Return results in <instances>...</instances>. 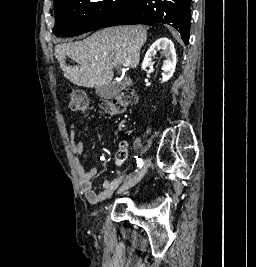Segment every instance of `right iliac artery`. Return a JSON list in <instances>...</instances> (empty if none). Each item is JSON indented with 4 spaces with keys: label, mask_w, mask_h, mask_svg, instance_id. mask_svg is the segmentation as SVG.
Segmentation results:
<instances>
[{
    "label": "right iliac artery",
    "mask_w": 256,
    "mask_h": 267,
    "mask_svg": "<svg viewBox=\"0 0 256 267\" xmlns=\"http://www.w3.org/2000/svg\"><path fill=\"white\" fill-rule=\"evenodd\" d=\"M137 166L141 168L143 166V160L137 157ZM137 171V170H136Z\"/></svg>",
    "instance_id": "82829eb1"
}]
</instances>
